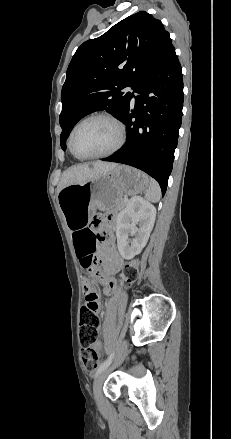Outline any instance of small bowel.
Instances as JSON below:
<instances>
[{
    "instance_id": "small-bowel-1",
    "label": "small bowel",
    "mask_w": 231,
    "mask_h": 439,
    "mask_svg": "<svg viewBox=\"0 0 231 439\" xmlns=\"http://www.w3.org/2000/svg\"><path fill=\"white\" fill-rule=\"evenodd\" d=\"M100 224L101 222L98 219L97 225ZM72 230L73 245L81 266L82 261L89 254L95 253L96 250L98 254L103 257L104 269L100 280L103 284L104 292L110 293L115 287V282L112 277L123 263L113 245V234L110 233L106 241H96L93 231L89 228H74ZM84 291L86 294V302L83 306L92 307L96 313H100L102 304L90 280L84 282Z\"/></svg>"
}]
</instances>
